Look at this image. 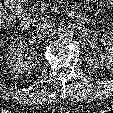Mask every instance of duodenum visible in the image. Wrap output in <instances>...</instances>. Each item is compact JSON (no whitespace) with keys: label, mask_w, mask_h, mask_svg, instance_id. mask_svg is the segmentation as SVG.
Listing matches in <instances>:
<instances>
[{"label":"duodenum","mask_w":113,"mask_h":113,"mask_svg":"<svg viewBox=\"0 0 113 113\" xmlns=\"http://www.w3.org/2000/svg\"><path fill=\"white\" fill-rule=\"evenodd\" d=\"M16 1V0H15ZM68 17L70 19H73L74 21H76L78 24H85L86 23V18L82 15L76 14L72 11H69L67 13ZM30 26V19L27 16H22L21 20H20V28L22 30H27Z\"/></svg>","instance_id":"410a0bca"}]
</instances>
